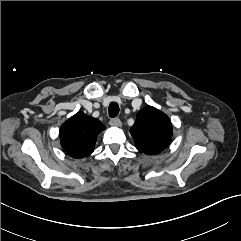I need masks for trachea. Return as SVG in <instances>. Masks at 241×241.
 <instances>
[{"mask_svg": "<svg viewBox=\"0 0 241 241\" xmlns=\"http://www.w3.org/2000/svg\"><path fill=\"white\" fill-rule=\"evenodd\" d=\"M119 113V106L116 102H111L109 105V116L115 118Z\"/></svg>", "mask_w": 241, "mask_h": 241, "instance_id": "obj_1", "label": "trachea"}]
</instances>
